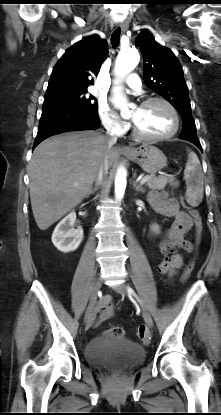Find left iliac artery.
Listing matches in <instances>:
<instances>
[{"label": "left iliac artery", "mask_w": 221, "mask_h": 415, "mask_svg": "<svg viewBox=\"0 0 221 415\" xmlns=\"http://www.w3.org/2000/svg\"><path fill=\"white\" fill-rule=\"evenodd\" d=\"M128 293L136 296L135 292L132 290V288L128 287ZM137 297V296H136Z\"/></svg>", "instance_id": "1"}]
</instances>
